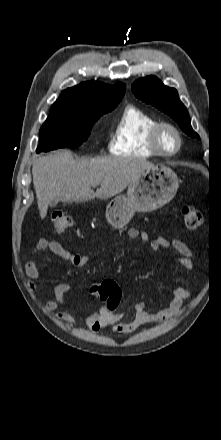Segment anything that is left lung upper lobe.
I'll list each match as a JSON object with an SVG mask.
<instances>
[{"label": "left lung upper lobe", "instance_id": "1", "mask_svg": "<svg viewBox=\"0 0 221 440\" xmlns=\"http://www.w3.org/2000/svg\"><path fill=\"white\" fill-rule=\"evenodd\" d=\"M134 95L172 117L188 135L199 138L193 131L186 107L179 100L178 92L167 87L155 76L138 79L132 84Z\"/></svg>", "mask_w": 221, "mask_h": 440}]
</instances>
